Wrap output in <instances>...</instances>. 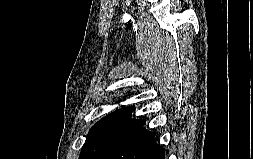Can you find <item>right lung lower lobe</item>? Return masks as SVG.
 Masks as SVG:
<instances>
[{"mask_svg":"<svg viewBox=\"0 0 253 159\" xmlns=\"http://www.w3.org/2000/svg\"><path fill=\"white\" fill-rule=\"evenodd\" d=\"M139 127L118 139L93 159H165V149L155 142V134Z\"/></svg>","mask_w":253,"mask_h":159,"instance_id":"obj_1","label":"right lung lower lobe"}]
</instances>
